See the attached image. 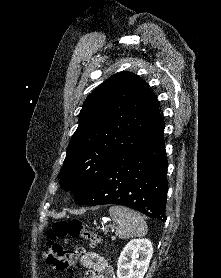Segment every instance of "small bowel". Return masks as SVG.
Masks as SVG:
<instances>
[{
	"instance_id": "small-bowel-1",
	"label": "small bowel",
	"mask_w": 221,
	"mask_h": 278,
	"mask_svg": "<svg viewBox=\"0 0 221 278\" xmlns=\"http://www.w3.org/2000/svg\"><path fill=\"white\" fill-rule=\"evenodd\" d=\"M81 263L88 269L86 278H115L107 260L95 252H81Z\"/></svg>"
}]
</instances>
